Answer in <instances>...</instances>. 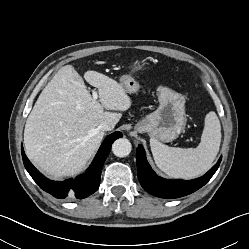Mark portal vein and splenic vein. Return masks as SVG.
Returning <instances> with one entry per match:
<instances>
[{
	"label": "portal vein and splenic vein",
	"instance_id": "18ae733b",
	"mask_svg": "<svg viewBox=\"0 0 249 249\" xmlns=\"http://www.w3.org/2000/svg\"><path fill=\"white\" fill-rule=\"evenodd\" d=\"M97 98H98L97 92L93 91V99H94V100H97Z\"/></svg>",
	"mask_w": 249,
	"mask_h": 249
}]
</instances>
